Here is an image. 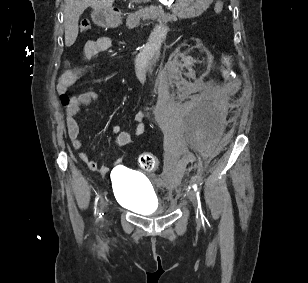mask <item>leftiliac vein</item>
Segmentation results:
<instances>
[{
    "label": "left iliac vein",
    "mask_w": 308,
    "mask_h": 283,
    "mask_svg": "<svg viewBox=\"0 0 308 283\" xmlns=\"http://www.w3.org/2000/svg\"><path fill=\"white\" fill-rule=\"evenodd\" d=\"M187 196H188L189 200L193 203L197 220L200 221V212H199V209H198L197 198H196L195 192L193 190H188Z\"/></svg>",
    "instance_id": "left-iliac-vein-1"
}]
</instances>
